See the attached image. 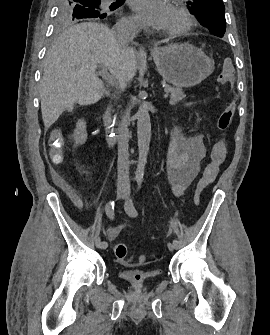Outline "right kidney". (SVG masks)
<instances>
[{"mask_svg": "<svg viewBox=\"0 0 270 335\" xmlns=\"http://www.w3.org/2000/svg\"><path fill=\"white\" fill-rule=\"evenodd\" d=\"M86 128L87 126L85 120H78L76 128L74 130V134L73 136H70V138H73L75 146H81V144H85L87 140Z\"/></svg>", "mask_w": 270, "mask_h": 335, "instance_id": "1", "label": "right kidney"}]
</instances>
